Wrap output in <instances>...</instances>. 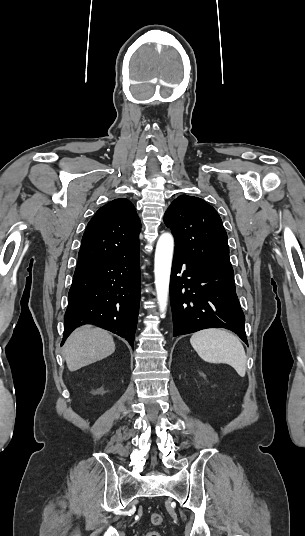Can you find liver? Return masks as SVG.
I'll use <instances>...</instances> for the list:
<instances>
[{
  "label": "liver",
  "instance_id": "obj_1",
  "mask_svg": "<svg viewBox=\"0 0 305 536\" xmlns=\"http://www.w3.org/2000/svg\"><path fill=\"white\" fill-rule=\"evenodd\" d=\"M115 352L112 336L92 326H81L72 332L63 348V356L70 372H76L84 366L99 362Z\"/></svg>",
  "mask_w": 305,
  "mask_h": 536
}]
</instances>
